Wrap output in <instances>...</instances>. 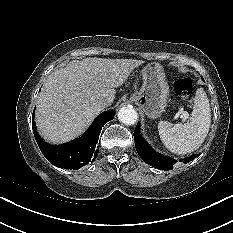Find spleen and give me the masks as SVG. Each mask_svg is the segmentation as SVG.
<instances>
[{
    "mask_svg": "<svg viewBox=\"0 0 233 233\" xmlns=\"http://www.w3.org/2000/svg\"><path fill=\"white\" fill-rule=\"evenodd\" d=\"M211 123L209 100L202 88L197 89L189 122L172 124L158 123L160 139L164 146L177 154L191 153L204 142Z\"/></svg>",
    "mask_w": 233,
    "mask_h": 233,
    "instance_id": "spleen-1",
    "label": "spleen"
}]
</instances>
